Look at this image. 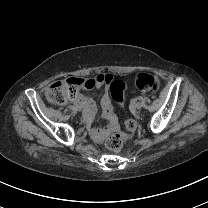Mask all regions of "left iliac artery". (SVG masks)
<instances>
[{"label":"left iliac artery","instance_id":"44dca946","mask_svg":"<svg viewBox=\"0 0 208 208\" xmlns=\"http://www.w3.org/2000/svg\"><path fill=\"white\" fill-rule=\"evenodd\" d=\"M138 99H139V100H142V99H143V97H141V96H140Z\"/></svg>","mask_w":208,"mask_h":208}]
</instances>
